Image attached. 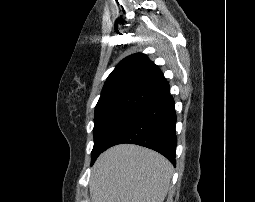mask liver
<instances>
[{"label": "liver", "instance_id": "1", "mask_svg": "<svg viewBox=\"0 0 255 202\" xmlns=\"http://www.w3.org/2000/svg\"><path fill=\"white\" fill-rule=\"evenodd\" d=\"M173 174L161 154L138 145L109 148L90 177L91 202H164Z\"/></svg>", "mask_w": 255, "mask_h": 202}]
</instances>
